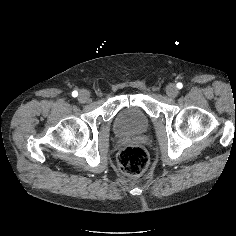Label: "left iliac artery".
Masks as SVG:
<instances>
[{"label":"left iliac artery","mask_w":236,"mask_h":236,"mask_svg":"<svg viewBox=\"0 0 236 236\" xmlns=\"http://www.w3.org/2000/svg\"><path fill=\"white\" fill-rule=\"evenodd\" d=\"M176 86H177V88H178V89H182V87H183V84H182L181 82H179V83H177V85H176Z\"/></svg>","instance_id":"obj_1"}]
</instances>
